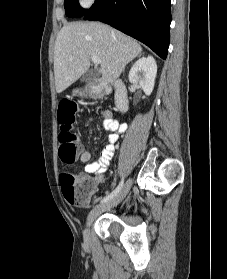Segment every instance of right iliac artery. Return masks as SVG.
Here are the masks:
<instances>
[{"mask_svg": "<svg viewBox=\"0 0 227 279\" xmlns=\"http://www.w3.org/2000/svg\"><path fill=\"white\" fill-rule=\"evenodd\" d=\"M124 184V179L122 178L121 182L119 183V185L117 186V188L112 191L108 196H106L104 199L101 200V203L107 202L109 200H111L112 198H114L122 189Z\"/></svg>", "mask_w": 227, "mask_h": 279, "instance_id": "right-iliac-artery-1", "label": "right iliac artery"}]
</instances>
